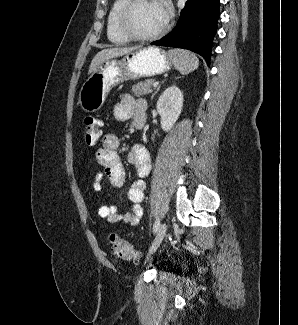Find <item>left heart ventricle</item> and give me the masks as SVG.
<instances>
[{
  "instance_id": "b2bd125f",
  "label": "left heart ventricle",
  "mask_w": 298,
  "mask_h": 325,
  "mask_svg": "<svg viewBox=\"0 0 298 325\" xmlns=\"http://www.w3.org/2000/svg\"><path fill=\"white\" fill-rule=\"evenodd\" d=\"M165 9L152 0H142L129 12L126 24L137 36H148L159 30L165 23Z\"/></svg>"
}]
</instances>
